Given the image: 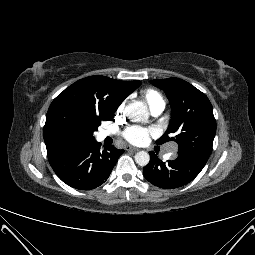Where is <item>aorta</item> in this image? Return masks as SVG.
Segmentation results:
<instances>
[{"label":"aorta","mask_w":255,"mask_h":255,"mask_svg":"<svg viewBox=\"0 0 255 255\" xmlns=\"http://www.w3.org/2000/svg\"><path fill=\"white\" fill-rule=\"evenodd\" d=\"M127 117L133 122H146L149 117L145 104L139 101L128 104L125 108ZM150 161V156L146 151H139L135 154V162L140 166H146Z\"/></svg>","instance_id":"762f6f07"}]
</instances>
